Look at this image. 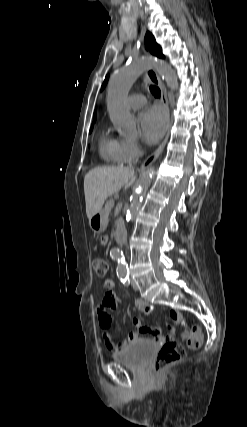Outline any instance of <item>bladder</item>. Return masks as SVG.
Segmentation results:
<instances>
[{
	"instance_id": "obj_1",
	"label": "bladder",
	"mask_w": 247,
	"mask_h": 427,
	"mask_svg": "<svg viewBox=\"0 0 247 427\" xmlns=\"http://www.w3.org/2000/svg\"><path fill=\"white\" fill-rule=\"evenodd\" d=\"M155 348L154 342L140 339L116 351L112 357L117 363L129 369L141 370L148 364Z\"/></svg>"
}]
</instances>
